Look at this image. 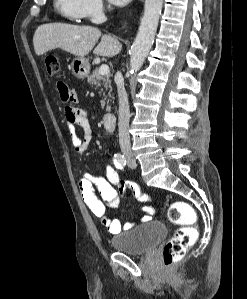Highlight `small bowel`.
<instances>
[{
  "instance_id": "obj_1",
  "label": "small bowel",
  "mask_w": 247,
  "mask_h": 299,
  "mask_svg": "<svg viewBox=\"0 0 247 299\" xmlns=\"http://www.w3.org/2000/svg\"><path fill=\"white\" fill-rule=\"evenodd\" d=\"M57 90L61 100L66 104L65 121L73 149L78 155H83L93 140V131L88 114L77 106V94L68 85L58 82ZM77 127L81 129L82 136L78 135ZM132 185L137 186L133 183L121 181L116 169L111 165H106L105 167V179L86 173L78 183L83 202L101 220L111 234H118L122 229L128 230L134 225L131 222L122 225L117 218L107 215V210L117 209L120 206L123 193L126 188L131 189ZM96 189L101 198L97 196ZM133 195L140 202H146L151 199L149 195L144 193L136 194L133 192ZM140 210L147 213L142 217L143 221L150 220L151 216L156 214V210L149 206L141 207Z\"/></svg>"
}]
</instances>
